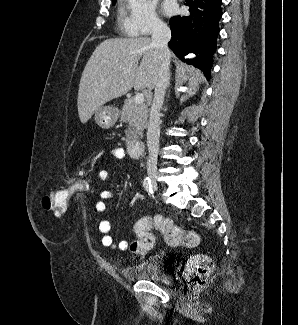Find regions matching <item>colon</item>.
<instances>
[{
    "label": "colon",
    "mask_w": 298,
    "mask_h": 325,
    "mask_svg": "<svg viewBox=\"0 0 298 325\" xmlns=\"http://www.w3.org/2000/svg\"><path fill=\"white\" fill-rule=\"evenodd\" d=\"M92 179L83 172H78L71 185L52 190L42 198V207L53 211L57 217L63 216L69 206L71 197L77 192L91 189ZM158 230L165 243L172 247H194L200 242L199 235L194 231L183 230L175 226L169 219L162 216L144 217L134 227L135 239L130 250L135 254H146L154 246V237L150 230ZM211 260L204 256H194L186 264L184 276L192 288L206 283L212 272Z\"/></svg>",
    "instance_id": "5ec220e1"
}]
</instances>
